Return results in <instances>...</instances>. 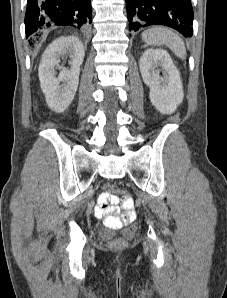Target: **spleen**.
Here are the masks:
<instances>
[{
    "mask_svg": "<svg viewBox=\"0 0 227 298\" xmlns=\"http://www.w3.org/2000/svg\"><path fill=\"white\" fill-rule=\"evenodd\" d=\"M142 39L148 45H166L180 59H185L186 48L178 34L165 27H152L142 33Z\"/></svg>",
    "mask_w": 227,
    "mask_h": 298,
    "instance_id": "3e777b00",
    "label": "spleen"
}]
</instances>
